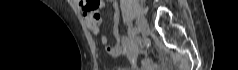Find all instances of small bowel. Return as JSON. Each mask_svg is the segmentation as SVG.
I'll return each mask as SVG.
<instances>
[{"label":"small bowel","instance_id":"small-bowel-1","mask_svg":"<svg viewBox=\"0 0 238 70\" xmlns=\"http://www.w3.org/2000/svg\"><path fill=\"white\" fill-rule=\"evenodd\" d=\"M77 6L83 12L87 26L92 34L99 35L100 40L106 51L113 57L125 56L131 63V70H151V63L148 59H144L139 67L135 63V56L139 53V44L132 37L122 39L118 26V19L115 16L113 24V34L115 44L110 45L108 38L101 33V16L99 10L103 7L102 0H77ZM117 8V4L115 3Z\"/></svg>","mask_w":238,"mask_h":70}]
</instances>
